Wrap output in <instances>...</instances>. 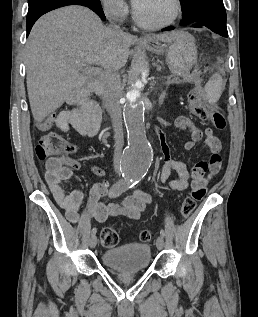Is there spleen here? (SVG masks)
Masks as SVG:
<instances>
[{"instance_id": "obj_1", "label": "spleen", "mask_w": 258, "mask_h": 317, "mask_svg": "<svg viewBox=\"0 0 258 317\" xmlns=\"http://www.w3.org/2000/svg\"><path fill=\"white\" fill-rule=\"evenodd\" d=\"M206 98L208 102H217L222 94V76L215 72L210 76L208 82L204 86Z\"/></svg>"}]
</instances>
